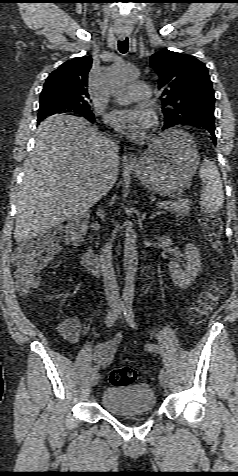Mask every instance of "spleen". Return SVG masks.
<instances>
[{
  "label": "spleen",
  "instance_id": "1",
  "mask_svg": "<svg viewBox=\"0 0 238 476\" xmlns=\"http://www.w3.org/2000/svg\"><path fill=\"white\" fill-rule=\"evenodd\" d=\"M199 176L204 186L200 198L201 208L209 213H216L223 207L224 193L220 173L215 163L205 159L200 167Z\"/></svg>",
  "mask_w": 238,
  "mask_h": 476
}]
</instances>
